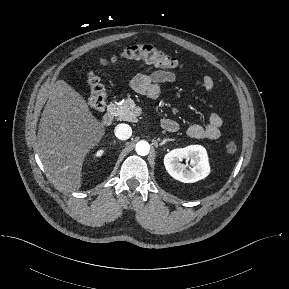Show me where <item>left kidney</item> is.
<instances>
[{
	"mask_svg": "<svg viewBox=\"0 0 289 289\" xmlns=\"http://www.w3.org/2000/svg\"><path fill=\"white\" fill-rule=\"evenodd\" d=\"M190 161L186 168L181 161ZM167 172L176 180L183 183H194L204 179L210 172L207 152L200 145L174 149L164 157Z\"/></svg>",
	"mask_w": 289,
	"mask_h": 289,
	"instance_id": "5707ae66",
	"label": "left kidney"
}]
</instances>
